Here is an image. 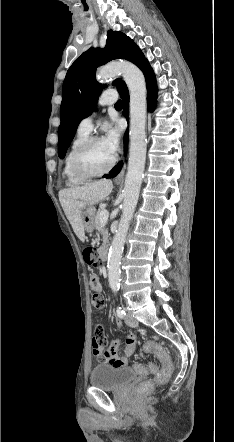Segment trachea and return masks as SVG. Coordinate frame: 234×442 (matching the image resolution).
<instances>
[{
  "label": "trachea",
  "mask_w": 234,
  "mask_h": 442,
  "mask_svg": "<svg viewBox=\"0 0 234 442\" xmlns=\"http://www.w3.org/2000/svg\"><path fill=\"white\" fill-rule=\"evenodd\" d=\"M123 106V102L121 101V100H118L116 103H115V107H122Z\"/></svg>",
  "instance_id": "3493384b"
}]
</instances>
